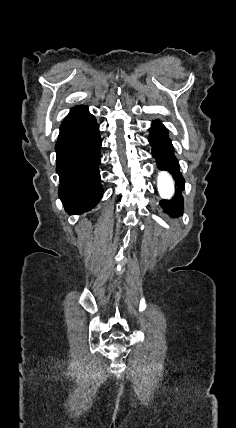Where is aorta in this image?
Returning <instances> with one entry per match:
<instances>
[{
  "mask_svg": "<svg viewBox=\"0 0 236 428\" xmlns=\"http://www.w3.org/2000/svg\"><path fill=\"white\" fill-rule=\"evenodd\" d=\"M158 192L163 199L172 198L175 186L172 176L166 171H160L157 177Z\"/></svg>",
  "mask_w": 236,
  "mask_h": 428,
  "instance_id": "762f6f07",
  "label": "aorta"
}]
</instances>
